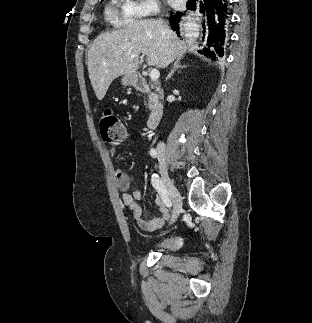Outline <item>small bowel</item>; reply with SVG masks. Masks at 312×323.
<instances>
[{
    "instance_id": "1",
    "label": "small bowel",
    "mask_w": 312,
    "mask_h": 323,
    "mask_svg": "<svg viewBox=\"0 0 312 323\" xmlns=\"http://www.w3.org/2000/svg\"><path fill=\"white\" fill-rule=\"evenodd\" d=\"M109 153L112 156L115 155L116 148L111 147ZM114 177L118 189L122 192V201L131 212L132 220L143 231L153 232L161 228L167 222L170 218V210L160 198L156 199L160 216L152 220H146L143 218L142 208L137 202L141 198V192L139 190L129 191L131 184L129 175L121 170H115Z\"/></svg>"
}]
</instances>
